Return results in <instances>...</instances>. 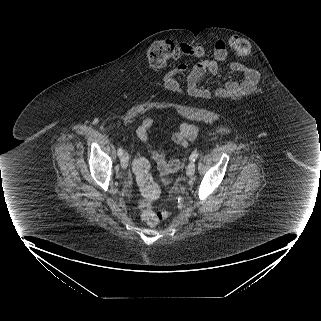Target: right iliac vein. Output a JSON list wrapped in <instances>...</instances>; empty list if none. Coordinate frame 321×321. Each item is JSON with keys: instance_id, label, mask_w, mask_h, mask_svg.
<instances>
[{"instance_id": "obj_1", "label": "right iliac vein", "mask_w": 321, "mask_h": 321, "mask_svg": "<svg viewBox=\"0 0 321 321\" xmlns=\"http://www.w3.org/2000/svg\"><path fill=\"white\" fill-rule=\"evenodd\" d=\"M128 162H129V155L127 152H124V154L121 157V167L123 169H126L128 166Z\"/></svg>"}]
</instances>
